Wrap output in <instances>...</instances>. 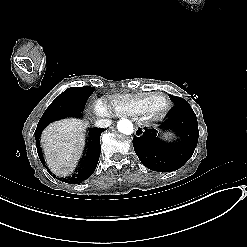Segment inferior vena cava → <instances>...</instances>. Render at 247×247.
<instances>
[{"instance_id": "1", "label": "inferior vena cava", "mask_w": 247, "mask_h": 247, "mask_svg": "<svg viewBox=\"0 0 247 247\" xmlns=\"http://www.w3.org/2000/svg\"><path fill=\"white\" fill-rule=\"evenodd\" d=\"M112 124V120L110 119H99L96 120L95 126L98 128H107Z\"/></svg>"}]
</instances>
